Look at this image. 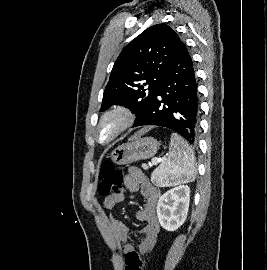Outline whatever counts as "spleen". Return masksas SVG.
<instances>
[{"label":"spleen","mask_w":267,"mask_h":270,"mask_svg":"<svg viewBox=\"0 0 267 270\" xmlns=\"http://www.w3.org/2000/svg\"><path fill=\"white\" fill-rule=\"evenodd\" d=\"M196 167L193 151L178 134L172 133L169 154L152 175V182L161 187L188 183L195 180Z\"/></svg>","instance_id":"obj_1"}]
</instances>
